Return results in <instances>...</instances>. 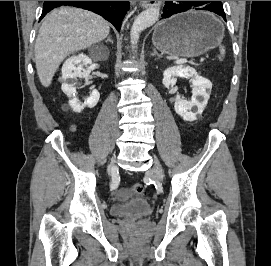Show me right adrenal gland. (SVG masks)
Returning a JSON list of instances; mask_svg holds the SVG:
<instances>
[{"instance_id": "obj_1", "label": "right adrenal gland", "mask_w": 271, "mask_h": 266, "mask_svg": "<svg viewBox=\"0 0 271 266\" xmlns=\"http://www.w3.org/2000/svg\"><path fill=\"white\" fill-rule=\"evenodd\" d=\"M105 42H106V43H107V42H111V43L113 44V41H112V39H111V36H109Z\"/></svg>"}]
</instances>
